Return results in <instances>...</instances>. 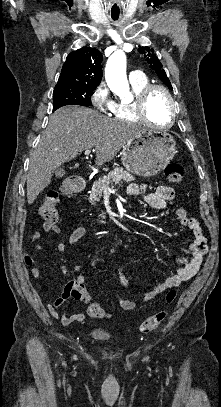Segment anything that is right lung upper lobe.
Here are the masks:
<instances>
[{"label": "right lung upper lobe", "instance_id": "1", "mask_svg": "<svg viewBox=\"0 0 221 407\" xmlns=\"http://www.w3.org/2000/svg\"><path fill=\"white\" fill-rule=\"evenodd\" d=\"M101 62L102 54L97 49L82 47L71 52L63 64L56 87L67 85L97 87L102 79Z\"/></svg>", "mask_w": 221, "mask_h": 407}]
</instances>
